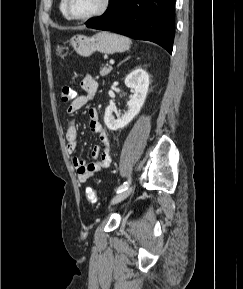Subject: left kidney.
Segmentation results:
<instances>
[{
    "label": "left kidney",
    "instance_id": "left-kidney-1",
    "mask_svg": "<svg viewBox=\"0 0 243 289\" xmlns=\"http://www.w3.org/2000/svg\"><path fill=\"white\" fill-rule=\"evenodd\" d=\"M125 85L133 91V96L127 102L128 110L117 119L113 116L115 105H109L105 110L104 122L109 130H117L129 124L139 114L149 87V75L143 69H135L125 78Z\"/></svg>",
    "mask_w": 243,
    "mask_h": 289
}]
</instances>
